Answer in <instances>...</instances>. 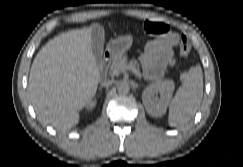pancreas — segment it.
Wrapping results in <instances>:
<instances>
[{
	"instance_id": "obj_1",
	"label": "pancreas",
	"mask_w": 243,
	"mask_h": 167,
	"mask_svg": "<svg viewBox=\"0 0 243 167\" xmlns=\"http://www.w3.org/2000/svg\"><path fill=\"white\" fill-rule=\"evenodd\" d=\"M125 65H128L126 56L119 55V56L115 57L112 60V62L108 65L110 76H112V77L118 76L122 72V70H121L122 66H125ZM130 65L134 66V68L140 73L137 60L132 59L130 61Z\"/></svg>"
}]
</instances>
